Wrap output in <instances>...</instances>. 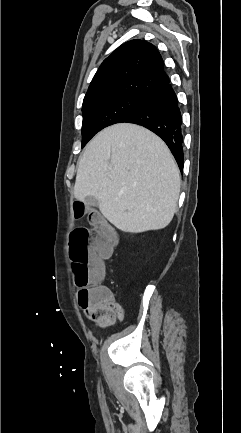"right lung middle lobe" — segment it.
Instances as JSON below:
<instances>
[{
    "instance_id": "dd1d6c3e",
    "label": "right lung middle lobe",
    "mask_w": 241,
    "mask_h": 433,
    "mask_svg": "<svg viewBox=\"0 0 241 433\" xmlns=\"http://www.w3.org/2000/svg\"><path fill=\"white\" fill-rule=\"evenodd\" d=\"M148 95L124 92L83 102L82 147L103 128L123 122L137 111Z\"/></svg>"
}]
</instances>
